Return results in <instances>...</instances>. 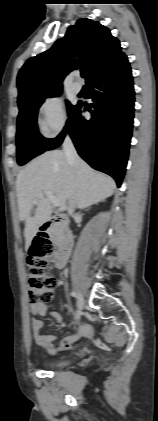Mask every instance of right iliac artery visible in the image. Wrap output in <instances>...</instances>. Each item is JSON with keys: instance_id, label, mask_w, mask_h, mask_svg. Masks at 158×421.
I'll return each instance as SVG.
<instances>
[{"instance_id": "right-iliac-artery-1", "label": "right iliac artery", "mask_w": 158, "mask_h": 421, "mask_svg": "<svg viewBox=\"0 0 158 421\" xmlns=\"http://www.w3.org/2000/svg\"><path fill=\"white\" fill-rule=\"evenodd\" d=\"M70 294H71L72 297H75V298H77V296H78L75 291H72Z\"/></svg>"}]
</instances>
